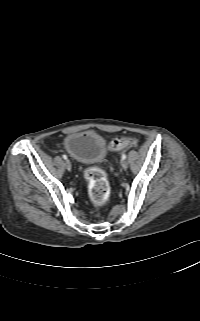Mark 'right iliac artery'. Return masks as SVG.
Wrapping results in <instances>:
<instances>
[{
    "instance_id": "82829eb1",
    "label": "right iliac artery",
    "mask_w": 200,
    "mask_h": 321,
    "mask_svg": "<svg viewBox=\"0 0 200 321\" xmlns=\"http://www.w3.org/2000/svg\"><path fill=\"white\" fill-rule=\"evenodd\" d=\"M63 158H64V159H67V156H66V155H63Z\"/></svg>"
}]
</instances>
